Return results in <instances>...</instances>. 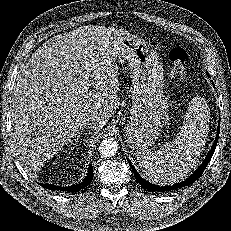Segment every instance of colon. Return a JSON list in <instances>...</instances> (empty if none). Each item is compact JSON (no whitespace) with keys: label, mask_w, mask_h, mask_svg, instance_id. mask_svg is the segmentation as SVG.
<instances>
[{"label":"colon","mask_w":231,"mask_h":231,"mask_svg":"<svg viewBox=\"0 0 231 231\" xmlns=\"http://www.w3.org/2000/svg\"><path fill=\"white\" fill-rule=\"evenodd\" d=\"M189 59L188 52L182 47H173L169 51V60L173 64L174 74L178 79L186 78Z\"/></svg>","instance_id":"colon-1"}]
</instances>
